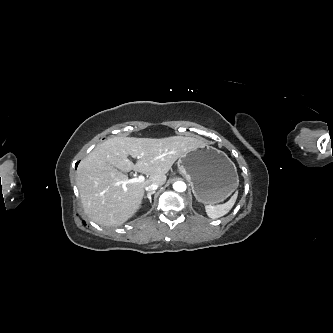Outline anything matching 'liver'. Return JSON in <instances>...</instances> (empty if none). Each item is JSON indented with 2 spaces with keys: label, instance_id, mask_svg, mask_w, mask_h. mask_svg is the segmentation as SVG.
<instances>
[{
  "label": "liver",
  "instance_id": "1",
  "mask_svg": "<svg viewBox=\"0 0 333 333\" xmlns=\"http://www.w3.org/2000/svg\"><path fill=\"white\" fill-rule=\"evenodd\" d=\"M203 145L201 139L183 136L114 137L97 145L77 169L76 183L86 214L101 226L122 225L140 209L146 186L163 185L175 161ZM129 155L138 159L136 164ZM132 170L147 178L123 188L121 182L128 176L121 171Z\"/></svg>",
  "mask_w": 333,
  "mask_h": 333
}]
</instances>
